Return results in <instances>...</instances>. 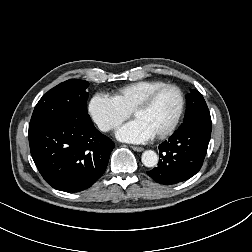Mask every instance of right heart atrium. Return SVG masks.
<instances>
[{"instance_id": "right-heart-atrium-1", "label": "right heart atrium", "mask_w": 252, "mask_h": 252, "mask_svg": "<svg viewBox=\"0 0 252 252\" xmlns=\"http://www.w3.org/2000/svg\"><path fill=\"white\" fill-rule=\"evenodd\" d=\"M87 108L91 120L103 132L116 129L130 115L111 96L99 92L90 97Z\"/></svg>"}]
</instances>
